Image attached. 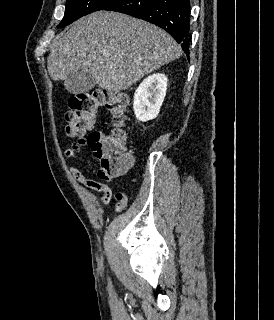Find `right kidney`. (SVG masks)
Segmentation results:
<instances>
[{
    "mask_svg": "<svg viewBox=\"0 0 274 320\" xmlns=\"http://www.w3.org/2000/svg\"><path fill=\"white\" fill-rule=\"evenodd\" d=\"M167 82L165 74H152L135 90L133 110L139 122L157 118L166 96Z\"/></svg>",
    "mask_w": 274,
    "mask_h": 320,
    "instance_id": "obj_1",
    "label": "right kidney"
}]
</instances>
